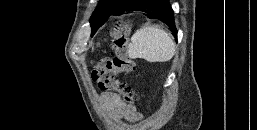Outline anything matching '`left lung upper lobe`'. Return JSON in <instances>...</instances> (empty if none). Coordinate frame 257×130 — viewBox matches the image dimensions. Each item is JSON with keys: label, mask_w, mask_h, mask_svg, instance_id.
Instances as JSON below:
<instances>
[{"label": "left lung upper lobe", "mask_w": 257, "mask_h": 130, "mask_svg": "<svg viewBox=\"0 0 257 130\" xmlns=\"http://www.w3.org/2000/svg\"><path fill=\"white\" fill-rule=\"evenodd\" d=\"M129 0H101L96 10L90 18L92 35L101 26V24L119 7L126 4Z\"/></svg>", "instance_id": "obj_1"}]
</instances>
